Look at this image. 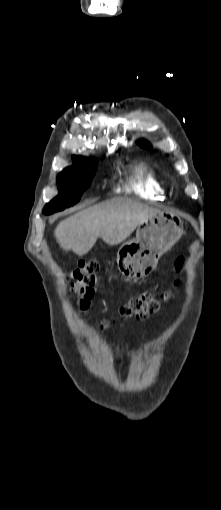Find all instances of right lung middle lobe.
<instances>
[{"label":"right lung middle lobe","mask_w":221,"mask_h":510,"mask_svg":"<svg viewBox=\"0 0 221 510\" xmlns=\"http://www.w3.org/2000/svg\"><path fill=\"white\" fill-rule=\"evenodd\" d=\"M97 168V160H89L80 166L68 167L57 177L59 195L43 209L44 214L61 211L77 203L90 186Z\"/></svg>","instance_id":"obj_1"}]
</instances>
